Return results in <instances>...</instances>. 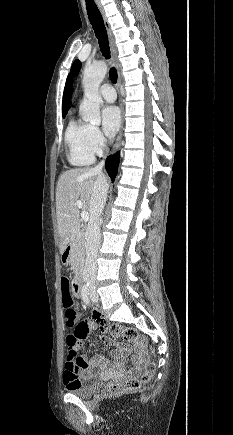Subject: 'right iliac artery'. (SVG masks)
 I'll list each match as a JSON object with an SVG mask.
<instances>
[{
  "instance_id": "82829eb1",
  "label": "right iliac artery",
  "mask_w": 233,
  "mask_h": 435,
  "mask_svg": "<svg viewBox=\"0 0 233 435\" xmlns=\"http://www.w3.org/2000/svg\"><path fill=\"white\" fill-rule=\"evenodd\" d=\"M82 299L87 305H90L88 284L82 288Z\"/></svg>"
}]
</instances>
